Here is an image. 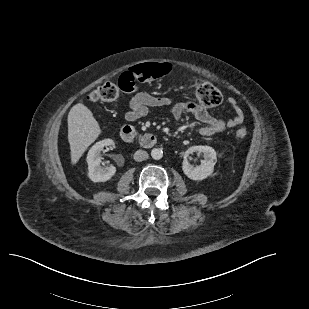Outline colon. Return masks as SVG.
<instances>
[{
    "label": "colon",
    "instance_id": "colon-1",
    "mask_svg": "<svg viewBox=\"0 0 309 309\" xmlns=\"http://www.w3.org/2000/svg\"><path fill=\"white\" fill-rule=\"evenodd\" d=\"M171 71L169 63H147L124 72L118 83L107 82L88 95V100L92 103H105L114 101L120 91H132L135 88V82H151L167 75ZM129 81L132 88L127 89L125 83ZM197 101L207 107H214L222 102L221 92L212 84L204 81H197L195 84ZM247 135L245 128H240L235 132L237 139H243Z\"/></svg>",
    "mask_w": 309,
    "mask_h": 309
}]
</instances>
